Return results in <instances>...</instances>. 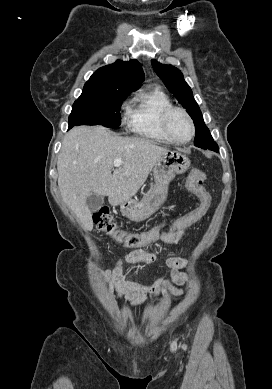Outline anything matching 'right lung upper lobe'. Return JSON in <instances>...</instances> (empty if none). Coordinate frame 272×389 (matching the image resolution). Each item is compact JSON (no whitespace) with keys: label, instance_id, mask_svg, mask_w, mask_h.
<instances>
[{"label":"right lung upper lobe","instance_id":"cb5924a9","mask_svg":"<svg viewBox=\"0 0 272 389\" xmlns=\"http://www.w3.org/2000/svg\"><path fill=\"white\" fill-rule=\"evenodd\" d=\"M144 81V73L137 60L116 61L111 65L99 68L86 82L85 87L113 89L123 92H134Z\"/></svg>","mask_w":272,"mask_h":389}]
</instances>
